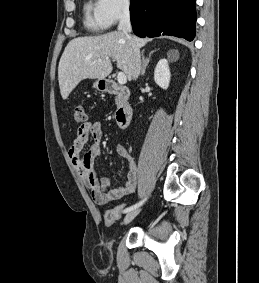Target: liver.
Listing matches in <instances>:
<instances>
[{
  "label": "liver",
  "instance_id": "1",
  "mask_svg": "<svg viewBox=\"0 0 259 283\" xmlns=\"http://www.w3.org/2000/svg\"><path fill=\"white\" fill-rule=\"evenodd\" d=\"M148 39L113 31L100 36L78 37L66 46L58 66L60 93L66 100L84 79H105L112 71L111 58L128 80L133 77V48L145 46Z\"/></svg>",
  "mask_w": 259,
  "mask_h": 283
}]
</instances>
